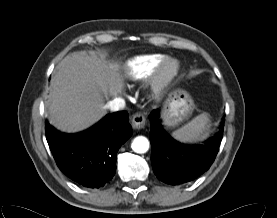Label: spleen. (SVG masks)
Listing matches in <instances>:
<instances>
[{
  "label": "spleen",
  "mask_w": 277,
  "mask_h": 218,
  "mask_svg": "<svg viewBox=\"0 0 277 218\" xmlns=\"http://www.w3.org/2000/svg\"><path fill=\"white\" fill-rule=\"evenodd\" d=\"M209 129L210 116L204 112L174 131L172 136L181 142H196L205 139L209 135Z\"/></svg>",
  "instance_id": "spleen-1"
}]
</instances>
